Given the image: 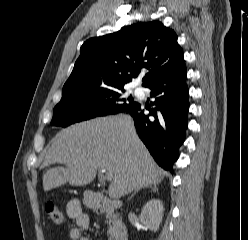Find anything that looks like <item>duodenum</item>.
<instances>
[{
    "label": "duodenum",
    "instance_id": "1",
    "mask_svg": "<svg viewBox=\"0 0 248 240\" xmlns=\"http://www.w3.org/2000/svg\"><path fill=\"white\" fill-rule=\"evenodd\" d=\"M91 208L99 213H106L121 207L117 200H109L102 193L94 192L91 194ZM114 240H128V230L124 226H119Z\"/></svg>",
    "mask_w": 248,
    "mask_h": 240
}]
</instances>
